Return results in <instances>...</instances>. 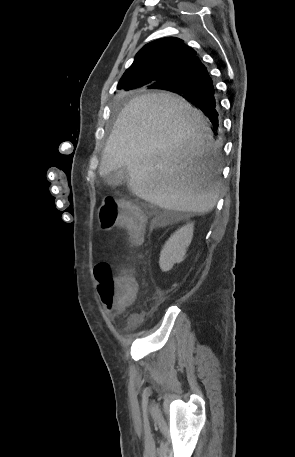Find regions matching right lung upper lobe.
I'll return each instance as SVG.
<instances>
[{
    "mask_svg": "<svg viewBox=\"0 0 295 457\" xmlns=\"http://www.w3.org/2000/svg\"><path fill=\"white\" fill-rule=\"evenodd\" d=\"M196 58V51L179 38L155 40L140 49L117 87L123 90L138 88L136 86L155 87L176 79L181 69Z\"/></svg>",
    "mask_w": 295,
    "mask_h": 457,
    "instance_id": "1",
    "label": "right lung upper lobe"
}]
</instances>
